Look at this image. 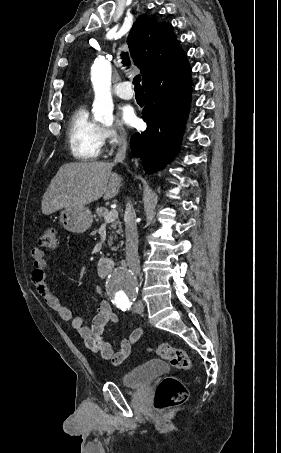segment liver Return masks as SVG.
Masks as SVG:
<instances>
[{
  "mask_svg": "<svg viewBox=\"0 0 281 453\" xmlns=\"http://www.w3.org/2000/svg\"><path fill=\"white\" fill-rule=\"evenodd\" d=\"M114 162H66L52 178L42 198L43 214L60 208L85 206L98 198H113L122 186V178L111 172Z\"/></svg>",
  "mask_w": 281,
  "mask_h": 453,
  "instance_id": "6515ba94",
  "label": "liver"
}]
</instances>
